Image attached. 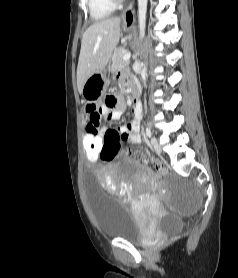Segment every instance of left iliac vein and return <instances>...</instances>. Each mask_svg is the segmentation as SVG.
Segmentation results:
<instances>
[{"instance_id": "4c4485c4", "label": "left iliac vein", "mask_w": 238, "mask_h": 278, "mask_svg": "<svg viewBox=\"0 0 238 278\" xmlns=\"http://www.w3.org/2000/svg\"><path fill=\"white\" fill-rule=\"evenodd\" d=\"M151 145L157 153H161V146L159 145L158 140L155 137L151 138Z\"/></svg>"}]
</instances>
